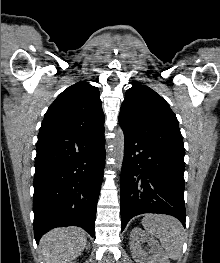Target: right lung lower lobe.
<instances>
[{
    "instance_id": "right-lung-lower-lobe-1",
    "label": "right lung lower lobe",
    "mask_w": 220,
    "mask_h": 263,
    "mask_svg": "<svg viewBox=\"0 0 220 263\" xmlns=\"http://www.w3.org/2000/svg\"><path fill=\"white\" fill-rule=\"evenodd\" d=\"M34 176V236L79 226L94 236L105 165L104 129L66 140L38 142Z\"/></svg>"
}]
</instances>
